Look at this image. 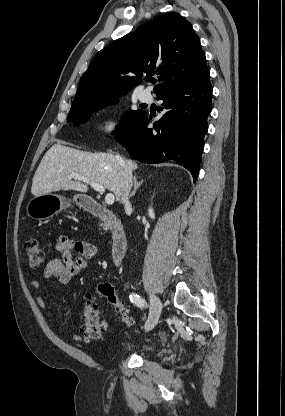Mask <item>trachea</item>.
<instances>
[{
	"label": "trachea",
	"mask_w": 285,
	"mask_h": 416,
	"mask_svg": "<svg viewBox=\"0 0 285 416\" xmlns=\"http://www.w3.org/2000/svg\"><path fill=\"white\" fill-rule=\"evenodd\" d=\"M150 81H151L152 83H156V81H157V80H155V79H151Z\"/></svg>",
	"instance_id": "trachea-1"
}]
</instances>
